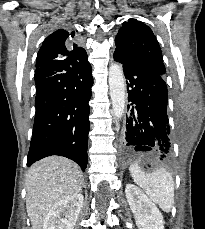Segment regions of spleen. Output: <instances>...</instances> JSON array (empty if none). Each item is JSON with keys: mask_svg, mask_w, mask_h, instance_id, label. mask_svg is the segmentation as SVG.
<instances>
[{"mask_svg": "<svg viewBox=\"0 0 205 229\" xmlns=\"http://www.w3.org/2000/svg\"><path fill=\"white\" fill-rule=\"evenodd\" d=\"M129 172L138 184L150 197L165 211L170 212L174 205V181L169 172L161 168L151 174L142 171L138 164H133Z\"/></svg>", "mask_w": 205, "mask_h": 229, "instance_id": "obj_1", "label": "spleen"}]
</instances>
